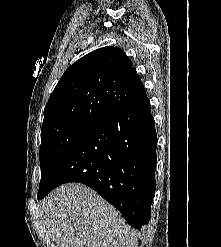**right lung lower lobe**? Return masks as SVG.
<instances>
[{
  "label": "right lung lower lobe",
  "instance_id": "1",
  "mask_svg": "<svg viewBox=\"0 0 221 247\" xmlns=\"http://www.w3.org/2000/svg\"><path fill=\"white\" fill-rule=\"evenodd\" d=\"M157 134L146 97L92 127L69 149L38 191L83 183L118 209L135 229L149 223L156 189Z\"/></svg>",
  "mask_w": 221,
  "mask_h": 247
}]
</instances>
